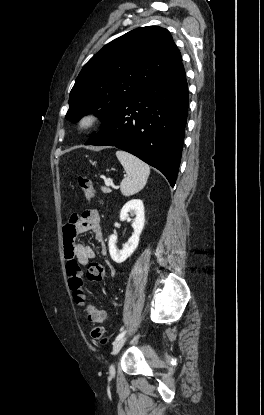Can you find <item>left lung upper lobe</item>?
I'll return each mask as SVG.
<instances>
[{
  "label": "left lung upper lobe",
  "mask_w": 264,
  "mask_h": 415,
  "mask_svg": "<svg viewBox=\"0 0 264 415\" xmlns=\"http://www.w3.org/2000/svg\"><path fill=\"white\" fill-rule=\"evenodd\" d=\"M181 62L167 29H134L104 46L84 65L70 92L66 118L77 122L93 113L104 126L128 99Z\"/></svg>",
  "instance_id": "obj_1"
}]
</instances>
